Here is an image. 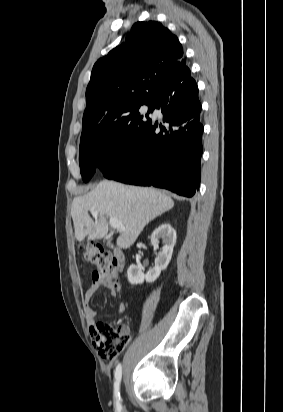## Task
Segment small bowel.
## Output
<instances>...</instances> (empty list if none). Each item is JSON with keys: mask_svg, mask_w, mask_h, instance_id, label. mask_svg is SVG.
Masks as SVG:
<instances>
[{"mask_svg": "<svg viewBox=\"0 0 283 412\" xmlns=\"http://www.w3.org/2000/svg\"><path fill=\"white\" fill-rule=\"evenodd\" d=\"M101 287H107L111 291V295L113 297H116V291L114 290V286L108 282L107 280L104 279H97L93 277L92 283L85 292L84 298H83V311H84V316L87 322L88 327L90 330L92 329V326L95 324L96 321V311L92 308L91 306V301L96 294V292L101 288ZM117 313L122 314L125 311V304L123 302L119 303L116 308ZM126 330L127 328L123 326Z\"/></svg>", "mask_w": 283, "mask_h": 412, "instance_id": "c3829d8e", "label": "small bowel"}]
</instances>
